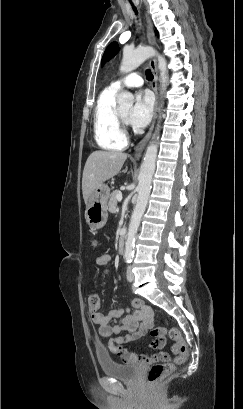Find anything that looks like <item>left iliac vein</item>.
Listing matches in <instances>:
<instances>
[{"label": "left iliac vein", "mask_w": 243, "mask_h": 409, "mask_svg": "<svg viewBox=\"0 0 243 409\" xmlns=\"http://www.w3.org/2000/svg\"><path fill=\"white\" fill-rule=\"evenodd\" d=\"M126 275H127V280H128L129 282H132V281L134 280V274H133V272H132V267H131V266H129V267L127 268V273H126Z\"/></svg>", "instance_id": "obj_1"}]
</instances>
